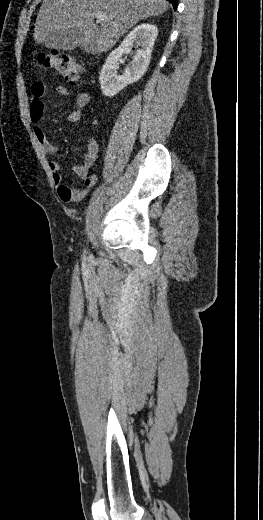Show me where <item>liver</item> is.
<instances>
[{"label": "liver", "instance_id": "1", "mask_svg": "<svg viewBox=\"0 0 263 520\" xmlns=\"http://www.w3.org/2000/svg\"><path fill=\"white\" fill-rule=\"evenodd\" d=\"M168 7L166 0H43L34 39L47 45L51 34H68L78 28L83 31L78 40L81 50L98 54L110 50L139 21L162 15ZM97 12L108 19L95 23Z\"/></svg>", "mask_w": 263, "mask_h": 520}]
</instances>
